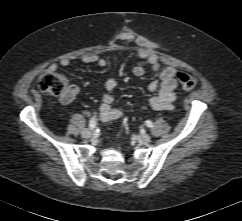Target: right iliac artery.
Masks as SVG:
<instances>
[{
    "instance_id": "1",
    "label": "right iliac artery",
    "mask_w": 242,
    "mask_h": 221,
    "mask_svg": "<svg viewBox=\"0 0 242 221\" xmlns=\"http://www.w3.org/2000/svg\"><path fill=\"white\" fill-rule=\"evenodd\" d=\"M96 126V119L95 118H91L90 122H89V128L90 129H94Z\"/></svg>"
}]
</instances>
